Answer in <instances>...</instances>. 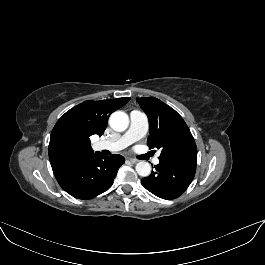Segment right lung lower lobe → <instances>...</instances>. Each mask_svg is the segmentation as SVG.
Returning <instances> with one entry per match:
<instances>
[{"instance_id":"right-lung-lower-lobe-1","label":"right lung lower lobe","mask_w":265,"mask_h":265,"mask_svg":"<svg viewBox=\"0 0 265 265\" xmlns=\"http://www.w3.org/2000/svg\"><path fill=\"white\" fill-rule=\"evenodd\" d=\"M125 158L118 154L92 156L65 166L54 175L60 186L78 199H91L111 187L119 167Z\"/></svg>"}]
</instances>
